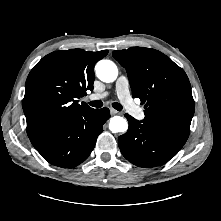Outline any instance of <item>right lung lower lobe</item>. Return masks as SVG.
<instances>
[{"mask_svg": "<svg viewBox=\"0 0 221 221\" xmlns=\"http://www.w3.org/2000/svg\"><path fill=\"white\" fill-rule=\"evenodd\" d=\"M109 117L108 108L89 109L75 115L59 128L29 138L49 163L73 168L88 158Z\"/></svg>", "mask_w": 221, "mask_h": 221, "instance_id": "98d812e1", "label": "right lung lower lobe"}]
</instances>
